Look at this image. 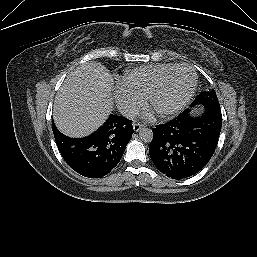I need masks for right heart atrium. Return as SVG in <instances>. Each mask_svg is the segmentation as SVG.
Returning <instances> with one entry per match:
<instances>
[{"label": "right heart atrium", "instance_id": "obj_1", "mask_svg": "<svg viewBox=\"0 0 257 257\" xmlns=\"http://www.w3.org/2000/svg\"><path fill=\"white\" fill-rule=\"evenodd\" d=\"M115 100L118 108L128 118L136 116L145 106L144 98L124 88L118 90Z\"/></svg>", "mask_w": 257, "mask_h": 257}]
</instances>
